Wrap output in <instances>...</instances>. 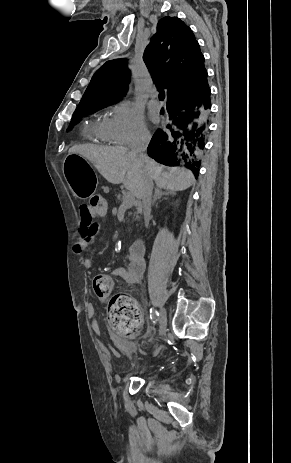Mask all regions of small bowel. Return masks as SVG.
<instances>
[{
    "label": "small bowel",
    "mask_w": 291,
    "mask_h": 463,
    "mask_svg": "<svg viewBox=\"0 0 291 463\" xmlns=\"http://www.w3.org/2000/svg\"><path fill=\"white\" fill-rule=\"evenodd\" d=\"M95 218H99L95 216V210L89 207V212H86L84 205L80 208L79 239L74 244V251L85 256L83 264L88 269H92L95 266L91 259L87 257V254L101 228L100 224L94 220ZM144 268L145 263L142 256H134L130 253L128 255L127 266L115 269L112 274L128 283L138 284L141 281ZM91 320L93 321V318Z\"/></svg>",
    "instance_id": "c3829d8e"
}]
</instances>
